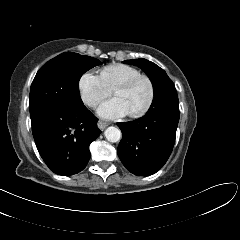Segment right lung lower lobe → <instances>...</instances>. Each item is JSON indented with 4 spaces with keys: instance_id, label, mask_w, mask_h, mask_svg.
Instances as JSON below:
<instances>
[{
    "instance_id": "obj_1",
    "label": "right lung lower lobe",
    "mask_w": 240,
    "mask_h": 240,
    "mask_svg": "<svg viewBox=\"0 0 240 240\" xmlns=\"http://www.w3.org/2000/svg\"><path fill=\"white\" fill-rule=\"evenodd\" d=\"M97 121L84 105L54 108L31 118L37 149L51 171L70 176L86 167L89 145L101 133Z\"/></svg>"
}]
</instances>
